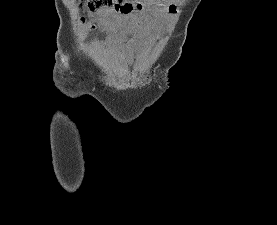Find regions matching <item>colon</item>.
<instances>
[{
	"instance_id": "5ec220e1",
	"label": "colon",
	"mask_w": 277,
	"mask_h": 225,
	"mask_svg": "<svg viewBox=\"0 0 277 225\" xmlns=\"http://www.w3.org/2000/svg\"><path fill=\"white\" fill-rule=\"evenodd\" d=\"M80 7L88 11H113L120 14H129L137 9L134 2L126 0H80Z\"/></svg>"
}]
</instances>
